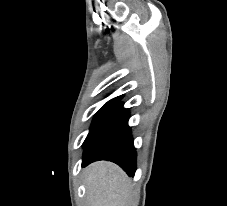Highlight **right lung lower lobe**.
Masks as SVG:
<instances>
[{
    "mask_svg": "<svg viewBox=\"0 0 227 206\" xmlns=\"http://www.w3.org/2000/svg\"><path fill=\"white\" fill-rule=\"evenodd\" d=\"M129 111L117 102L87 136L82 167L97 160L118 164L129 176L136 171V151L128 126Z\"/></svg>",
    "mask_w": 227,
    "mask_h": 206,
    "instance_id": "obj_1",
    "label": "right lung lower lobe"
}]
</instances>
